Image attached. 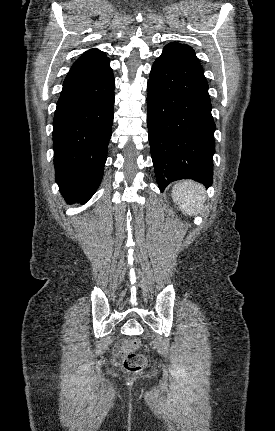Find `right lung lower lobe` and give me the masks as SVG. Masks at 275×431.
Segmentation results:
<instances>
[{"label":"right lung lower lobe","mask_w":275,"mask_h":431,"mask_svg":"<svg viewBox=\"0 0 275 431\" xmlns=\"http://www.w3.org/2000/svg\"><path fill=\"white\" fill-rule=\"evenodd\" d=\"M115 79L109 69L63 85L53 119L55 180L68 201L87 202L102 180L113 121Z\"/></svg>","instance_id":"right-lung-lower-lobe-1"}]
</instances>
